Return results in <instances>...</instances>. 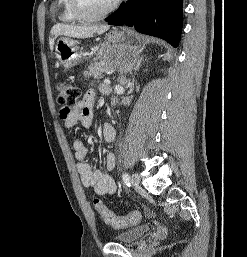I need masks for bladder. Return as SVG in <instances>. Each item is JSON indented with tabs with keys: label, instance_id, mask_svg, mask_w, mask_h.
<instances>
[{
	"label": "bladder",
	"instance_id": "obj_1",
	"mask_svg": "<svg viewBox=\"0 0 247 257\" xmlns=\"http://www.w3.org/2000/svg\"><path fill=\"white\" fill-rule=\"evenodd\" d=\"M151 230V226L144 224L135 226L115 235L114 240L121 244H134L143 239Z\"/></svg>",
	"mask_w": 247,
	"mask_h": 257
}]
</instances>
